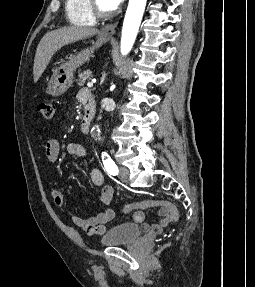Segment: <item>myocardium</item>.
Instances as JSON below:
<instances>
[{
	"label": "myocardium",
	"mask_w": 255,
	"mask_h": 287,
	"mask_svg": "<svg viewBox=\"0 0 255 287\" xmlns=\"http://www.w3.org/2000/svg\"><path fill=\"white\" fill-rule=\"evenodd\" d=\"M98 33H118V32H98ZM97 39H117V38H97ZM107 48H111V47H107ZM128 48H134V47H128Z\"/></svg>",
	"instance_id": "1"
}]
</instances>
